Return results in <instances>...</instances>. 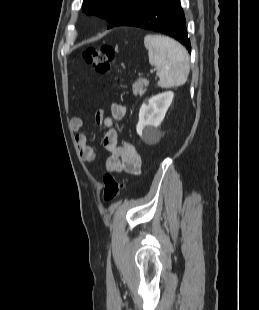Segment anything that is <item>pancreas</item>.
<instances>
[{"instance_id": "obj_1", "label": "pancreas", "mask_w": 259, "mask_h": 310, "mask_svg": "<svg viewBox=\"0 0 259 310\" xmlns=\"http://www.w3.org/2000/svg\"><path fill=\"white\" fill-rule=\"evenodd\" d=\"M149 85V81L144 78H139L133 84V94L142 96L146 92V87Z\"/></svg>"}]
</instances>
